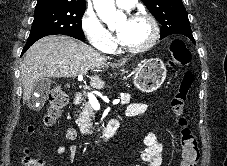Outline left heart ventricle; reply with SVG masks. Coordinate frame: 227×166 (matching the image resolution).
<instances>
[{
    "label": "left heart ventricle",
    "instance_id": "left-heart-ventricle-1",
    "mask_svg": "<svg viewBox=\"0 0 227 166\" xmlns=\"http://www.w3.org/2000/svg\"><path fill=\"white\" fill-rule=\"evenodd\" d=\"M117 29L122 33V43L126 46H140L145 44L151 36V27L144 19H122L117 24Z\"/></svg>",
    "mask_w": 227,
    "mask_h": 166
}]
</instances>
